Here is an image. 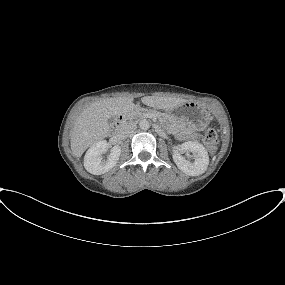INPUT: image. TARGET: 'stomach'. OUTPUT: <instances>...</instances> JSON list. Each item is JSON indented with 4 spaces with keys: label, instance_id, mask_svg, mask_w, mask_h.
I'll list each match as a JSON object with an SVG mask.
<instances>
[{
    "label": "stomach",
    "instance_id": "0dacf381",
    "mask_svg": "<svg viewBox=\"0 0 285 285\" xmlns=\"http://www.w3.org/2000/svg\"><path fill=\"white\" fill-rule=\"evenodd\" d=\"M170 114L196 130L205 128L210 121L208 110L200 103L187 101L170 111Z\"/></svg>",
    "mask_w": 285,
    "mask_h": 285
}]
</instances>
